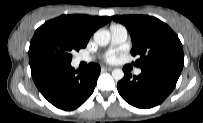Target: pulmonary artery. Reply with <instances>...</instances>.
<instances>
[{
	"label": "pulmonary artery",
	"mask_w": 203,
	"mask_h": 123,
	"mask_svg": "<svg viewBox=\"0 0 203 123\" xmlns=\"http://www.w3.org/2000/svg\"><path fill=\"white\" fill-rule=\"evenodd\" d=\"M111 32V47L122 44L127 38V29L121 24H113L110 27ZM92 58L89 56H80L79 61H91ZM141 69H136L135 74L139 75Z\"/></svg>",
	"instance_id": "pulmonary-artery-1"
}]
</instances>
